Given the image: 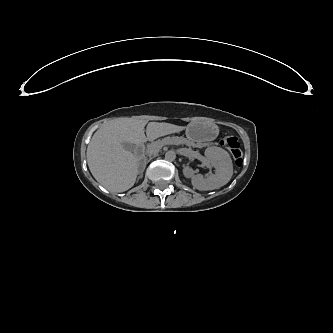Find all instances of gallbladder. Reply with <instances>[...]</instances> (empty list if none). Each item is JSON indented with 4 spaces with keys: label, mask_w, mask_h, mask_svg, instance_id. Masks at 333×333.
Wrapping results in <instances>:
<instances>
[{
    "label": "gallbladder",
    "mask_w": 333,
    "mask_h": 333,
    "mask_svg": "<svg viewBox=\"0 0 333 333\" xmlns=\"http://www.w3.org/2000/svg\"><path fill=\"white\" fill-rule=\"evenodd\" d=\"M122 146L125 148V149H127V150H129V151H133V149H134V144H132V143H129V142H124V143H122Z\"/></svg>",
    "instance_id": "gallbladder-1"
}]
</instances>
